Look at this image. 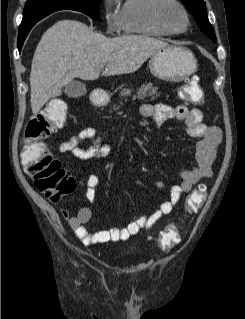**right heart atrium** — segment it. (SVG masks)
I'll return each mask as SVG.
<instances>
[{"instance_id":"obj_1","label":"right heart atrium","mask_w":245,"mask_h":319,"mask_svg":"<svg viewBox=\"0 0 245 319\" xmlns=\"http://www.w3.org/2000/svg\"><path fill=\"white\" fill-rule=\"evenodd\" d=\"M103 14L106 22L107 31L116 33L121 30L118 17V10L113 7V0H103Z\"/></svg>"}]
</instances>
